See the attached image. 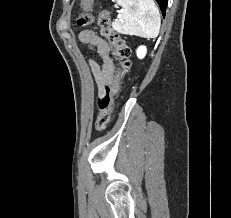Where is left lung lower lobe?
<instances>
[{"label":"left lung lower lobe","instance_id":"obj_1","mask_svg":"<svg viewBox=\"0 0 231 218\" xmlns=\"http://www.w3.org/2000/svg\"><path fill=\"white\" fill-rule=\"evenodd\" d=\"M156 1L160 6L163 16H165L168 0H156Z\"/></svg>","mask_w":231,"mask_h":218}]
</instances>
